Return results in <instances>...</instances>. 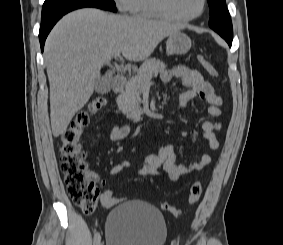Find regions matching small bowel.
Wrapping results in <instances>:
<instances>
[{
	"label": "small bowel",
	"instance_id": "obj_1",
	"mask_svg": "<svg viewBox=\"0 0 283 245\" xmlns=\"http://www.w3.org/2000/svg\"><path fill=\"white\" fill-rule=\"evenodd\" d=\"M174 79L180 80L187 88L186 91L179 95L181 107H185L193 99H199L209 105L208 113L210 116L219 118L223 115L221 97L215 93L211 84L205 81L197 70L184 65H177L163 71L161 74V80L164 83H169ZM220 128L221 124L219 122L206 121L202 124L203 137L208 141L210 151H215L219 147L216 131L220 130ZM130 131L129 125H116L110 133V138L112 141L122 140ZM176 158L177 151L173 146L161 145L156 153L150 154L144 159L142 165L136 171L140 175L167 177L171 181H177L183 175H190L202 170L212 161L211 152L202 153L199 160L188 165L176 164ZM131 167L130 162L123 161L114 165L110 169V174L117 175ZM161 167L163 171L160 170Z\"/></svg>",
	"mask_w": 283,
	"mask_h": 245
}]
</instances>
